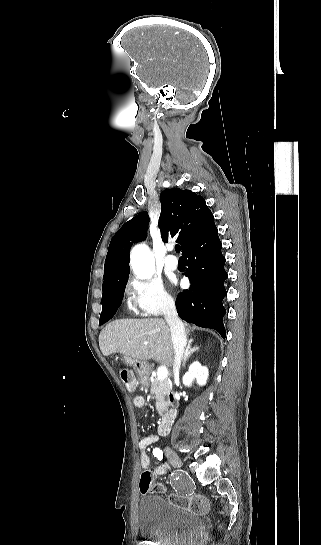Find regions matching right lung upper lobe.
Masks as SVG:
<instances>
[{"label": "right lung upper lobe", "mask_w": 321, "mask_h": 545, "mask_svg": "<svg viewBox=\"0 0 321 545\" xmlns=\"http://www.w3.org/2000/svg\"><path fill=\"white\" fill-rule=\"evenodd\" d=\"M162 209L159 228L162 240L176 239L184 255L187 247L204 235L215 223L204 198L190 190L172 188L160 195ZM147 212L126 222L113 236L105 260L102 290L119 285L129 275V250L143 241L148 229Z\"/></svg>", "instance_id": "right-lung-upper-lobe-1"}]
</instances>
